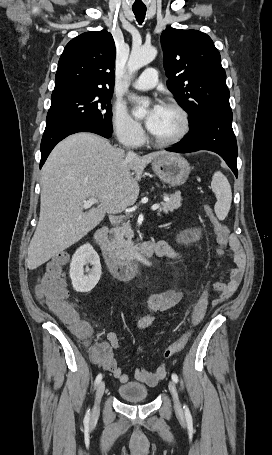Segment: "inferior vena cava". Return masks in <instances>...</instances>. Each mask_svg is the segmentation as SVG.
I'll list each match as a JSON object with an SVG mask.
<instances>
[{"label": "inferior vena cava", "instance_id": "1", "mask_svg": "<svg viewBox=\"0 0 272 455\" xmlns=\"http://www.w3.org/2000/svg\"><path fill=\"white\" fill-rule=\"evenodd\" d=\"M126 157L127 158H134V157H136V154L133 151H128Z\"/></svg>", "mask_w": 272, "mask_h": 455}]
</instances>
